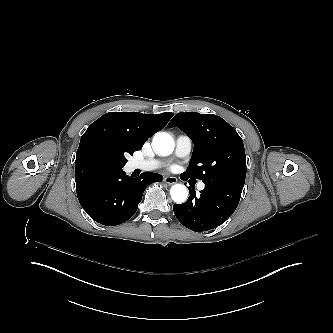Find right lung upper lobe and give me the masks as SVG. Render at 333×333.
<instances>
[{
  "label": "right lung upper lobe",
  "mask_w": 333,
  "mask_h": 333,
  "mask_svg": "<svg viewBox=\"0 0 333 333\" xmlns=\"http://www.w3.org/2000/svg\"><path fill=\"white\" fill-rule=\"evenodd\" d=\"M174 113L157 115L138 112H109L93 122L80 140L76 160L81 159L85 145L93 139H102L133 152L140 150L154 133L160 131Z\"/></svg>",
  "instance_id": "obj_1"
}]
</instances>
